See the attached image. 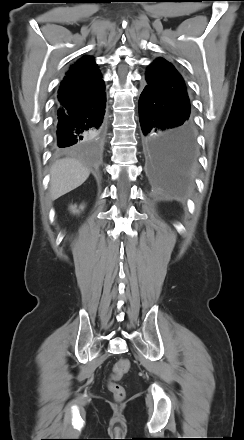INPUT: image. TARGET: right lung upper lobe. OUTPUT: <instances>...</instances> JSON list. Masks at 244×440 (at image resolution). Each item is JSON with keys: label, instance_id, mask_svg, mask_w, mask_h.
<instances>
[{"label": "right lung upper lobe", "instance_id": "cb5924a9", "mask_svg": "<svg viewBox=\"0 0 244 440\" xmlns=\"http://www.w3.org/2000/svg\"><path fill=\"white\" fill-rule=\"evenodd\" d=\"M91 56L73 64L61 82L57 105L61 107L83 103L104 93V82Z\"/></svg>", "mask_w": 244, "mask_h": 440}]
</instances>
